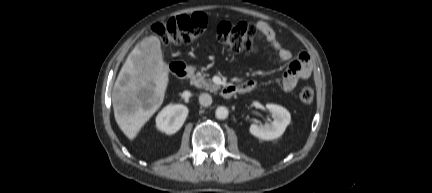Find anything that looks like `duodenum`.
I'll use <instances>...</instances> for the list:
<instances>
[{
    "mask_svg": "<svg viewBox=\"0 0 432 193\" xmlns=\"http://www.w3.org/2000/svg\"><path fill=\"white\" fill-rule=\"evenodd\" d=\"M170 68L173 74L180 79H188L192 75L191 68L188 65L184 64L183 62H179V61L173 62L170 65ZM237 92H240V89L236 85L224 86L221 89V95L224 98H231Z\"/></svg>",
    "mask_w": 432,
    "mask_h": 193,
    "instance_id": "1",
    "label": "duodenum"
}]
</instances>
